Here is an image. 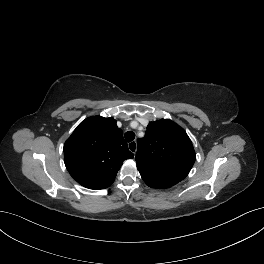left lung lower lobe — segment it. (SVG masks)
I'll return each mask as SVG.
<instances>
[{
	"instance_id": "obj_1",
	"label": "left lung lower lobe",
	"mask_w": 264,
	"mask_h": 264,
	"mask_svg": "<svg viewBox=\"0 0 264 264\" xmlns=\"http://www.w3.org/2000/svg\"><path fill=\"white\" fill-rule=\"evenodd\" d=\"M141 177L146 185L152 188H169L178 183L161 169L152 170L148 173L141 174Z\"/></svg>"
}]
</instances>
